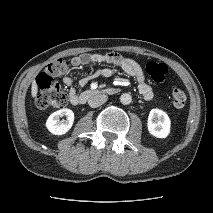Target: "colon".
Segmentation results:
<instances>
[{
    "label": "colon",
    "instance_id": "1",
    "mask_svg": "<svg viewBox=\"0 0 213 213\" xmlns=\"http://www.w3.org/2000/svg\"><path fill=\"white\" fill-rule=\"evenodd\" d=\"M69 64L66 60L57 59L49 63L37 77L38 93L34 99V104L39 109L63 108L67 103V95L61 88L56 77L64 74L68 70ZM147 74L155 82H163L168 72V68L163 63L150 61L146 64ZM171 98L176 108H183L186 104L184 91L174 85L171 90Z\"/></svg>",
    "mask_w": 213,
    "mask_h": 213
}]
</instances>
